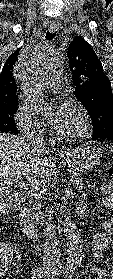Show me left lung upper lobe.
<instances>
[{"label":"left lung upper lobe","instance_id":"left-lung-upper-lobe-1","mask_svg":"<svg viewBox=\"0 0 113 279\" xmlns=\"http://www.w3.org/2000/svg\"><path fill=\"white\" fill-rule=\"evenodd\" d=\"M68 58L75 95L90 115L93 134L113 131V94L101 61L80 36L69 44Z\"/></svg>","mask_w":113,"mask_h":279}]
</instances>
